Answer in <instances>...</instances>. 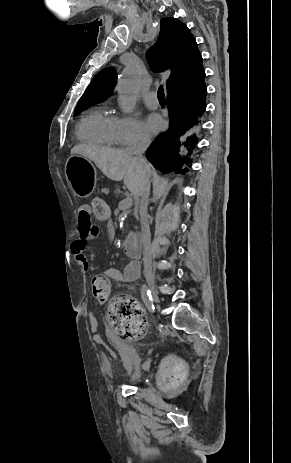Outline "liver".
I'll list each match as a JSON object with an SVG mask.
<instances>
[{"instance_id":"6515ba94","label":"liver","mask_w":291,"mask_h":463,"mask_svg":"<svg viewBox=\"0 0 291 463\" xmlns=\"http://www.w3.org/2000/svg\"><path fill=\"white\" fill-rule=\"evenodd\" d=\"M71 154L81 155L91 161L114 181L123 180L128 190L135 196H141L148 174L146 168L129 154L126 149H113L91 145H77L71 149Z\"/></svg>"}]
</instances>
